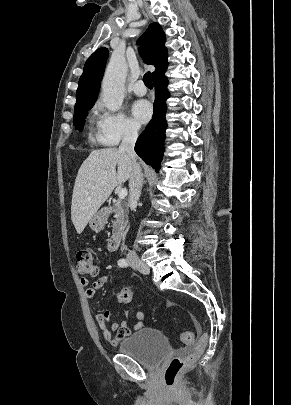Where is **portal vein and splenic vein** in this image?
<instances>
[{"instance_id": "1", "label": "portal vein and splenic vein", "mask_w": 291, "mask_h": 405, "mask_svg": "<svg viewBox=\"0 0 291 405\" xmlns=\"http://www.w3.org/2000/svg\"><path fill=\"white\" fill-rule=\"evenodd\" d=\"M126 196H127V189L122 188L118 193V197L119 199H124Z\"/></svg>"}]
</instances>
